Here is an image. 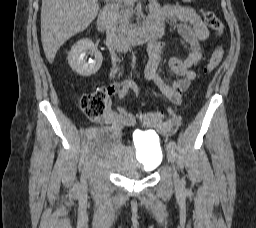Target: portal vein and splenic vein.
I'll return each mask as SVG.
<instances>
[{"instance_id": "1", "label": "portal vein and splenic vein", "mask_w": 256, "mask_h": 228, "mask_svg": "<svg viewBox=\"0 0 256 228\" xmlns=\"http://www.w3.org/2000/svg\"><path fill=\"white\" fill-rule=\"evenodd\" d=\"M127 1H133L134 2V1H137V0H127Z\"/></svg>"}]
</instances>
